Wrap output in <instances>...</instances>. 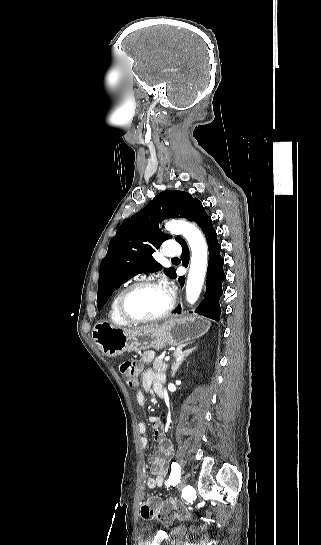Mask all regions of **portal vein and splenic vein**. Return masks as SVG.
Masks as SVG:
<instances>
[{"label": "portal vein and splenic vein", "mask_w": 321, "mask_h": 545, "mask_svg": "<svg viewBox=\"0 0 321 545\" xmlns=\"http://www.w3.org/2000/svg\"><path fill=\"white\" fill-rule=\"evenodd\" d=\"M171 360V357H166L165 362H169Z\"/></svg>", "instance_id": "18ae733b"}]
</instances>
